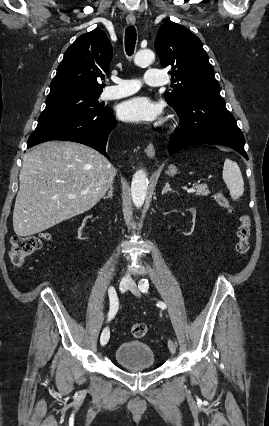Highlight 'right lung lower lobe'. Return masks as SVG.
Returning <instances> with one entry per match:
<instances>
[{
  "label": "right lung lower lobe",
  "mask_w": 269,
  "mask_h": 426,
  "mask_svg": "<svg viewBox=\"0 0 269 426\" xmlns=\"http://www.w3.org/2000/svg\"><path fill=\"white\" fill-rule=\"evenodd\" d=\"M116 125L113 110L105 107L99 113L35 130L28 139L27 148L50 140L74 141L90 146L110 159L106 144Z\"/></svg>",
  "instance_id": "98d812e1"
}]
</instances>
